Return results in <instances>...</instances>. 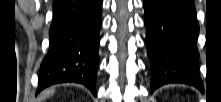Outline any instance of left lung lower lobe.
Masks as SVG:
<instances>
[{"instance_id": "1", "label": "left lung lower lobe", "mask_w": 221, "mask_h": 102, "mask_svg": "<svg viewBox=\"0 0 221 102\" xmlns=\"http://www.w3.org/2000/svg\"><path fill=\"white\" fill-rule=\"evenodd\" d=\"M151 92L168 83L203 88L198 72L199 25L192 0H144Z\"/></svg>"}]
</instances>
